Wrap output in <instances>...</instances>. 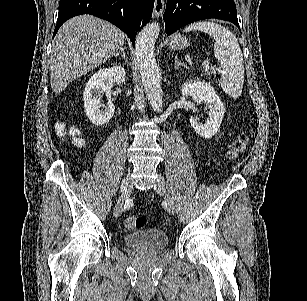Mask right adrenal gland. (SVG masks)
Segmentation results:
<instances>
[{"label": "right adrenal gland", "instance_id": "2a0ac1e0", "mask_svg": "<svg viewBox=\"0 0 307 301\" xmlns=\"http://www.w3.org/2000/svg\"><path fill=\"white\" fill-rule=\"evenodd\" d=\"M123 56V58H126V54H125V50L124 48H120L119 52H116V54H114V56Z\"/></svg>", "mask_w": 307, "mask_h": 301}]
</instances>
